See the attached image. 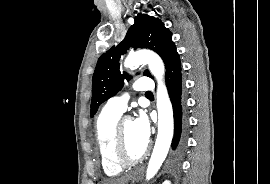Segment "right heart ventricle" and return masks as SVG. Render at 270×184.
Here are the masks:
<instances>
[{"label": "right heart ventricle", "instance_id": "obj_1", "mask_svg": "<svg viewBox=\"0 0 270 184\" xmlns=\"http://www.w3.org/2000/svg\"><path fill=\"white\" fill-rule=\"evenodd\" d=\"M120 116V113L106 106L102 109L96 121V141L100 162L107 176H116L124 168L118 165L113 157L114 130Z\"/></svg>", "mask_w": 270, "mask_h": 184}]
</instances>
